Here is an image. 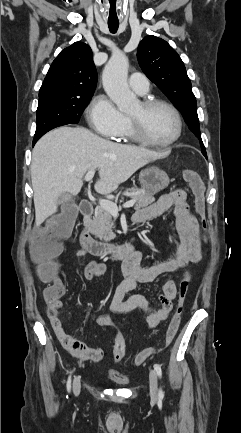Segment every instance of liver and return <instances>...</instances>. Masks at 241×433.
Segmentation results:
<instances>
[{"mask_svg":"<svg viewBox=\"0 0 241 433\" xmlns=\"http://www.w3.org/2000/svg\"><path fill=\"white\" fill-rule=\"evenodd\" d=\"M163 156L145 148L110 142L83 127H59L48 132L32 152L36 225L40 226L57 211L62 193L80 192L82 178L89 170L99 169L94 188L105 195L115 191L138 169Z\"/></svg>","mask_w":241,"mask_h":433,"instance_id":"liver-1","label":"liver"}]
</instances>
